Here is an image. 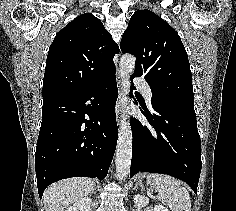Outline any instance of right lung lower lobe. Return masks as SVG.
<instances>
[{
  "label": "right lung lower lobe",
  "mask_w": 236,
  "mask_h": 211,
  "mask_svg": "<svg viewBox=\"0 0 236 211\" xmlns=\"http://www.w3.org/2000/svg\"><path fill=\"white\" fill-rule=\"evenodd\" d=\"M115 73L92 88L43 100L35 169L40 198L45 188L64 178L102 180L117 138Z\"/></svg>",
  "instance_id": "98d812e1"
}]
</instances>
